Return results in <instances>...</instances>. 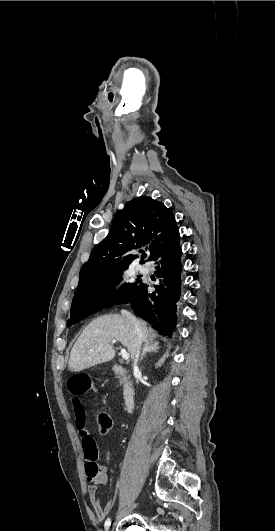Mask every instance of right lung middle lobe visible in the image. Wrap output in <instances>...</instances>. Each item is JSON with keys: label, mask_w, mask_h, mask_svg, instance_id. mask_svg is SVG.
Segmentation results:
<instances>
[{"label": "right lung middle lobe", "mask_w": 275, "mask_h": 531, "mask_svg": "<svg viewBox=\"0 0 275 531\" xmlns=\"http://www.w3.org/2000/svg\"><path fill=\"white\" fill-rule=\"evenodd\" d=\"M124 269L95 277L77 288L72 300L71 317L67 321L68 327L113 304L123 303L128 298L140 281L126 282L116 288L123 280Z\"/></svg>", "instance_id": "obj_1"}]
</instances>
